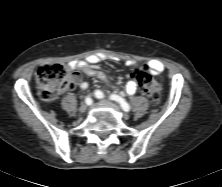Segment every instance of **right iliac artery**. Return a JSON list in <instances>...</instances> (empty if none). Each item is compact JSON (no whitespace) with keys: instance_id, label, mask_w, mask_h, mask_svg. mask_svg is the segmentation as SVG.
I'll use <instances>...</instances> for the list:
<instances>
[{"instance_id":"82829eb1","label":"right iliac artery","mask_w":222,"mask_h":187,"mask_svg":"<svg viewBox=\"0 0 222 187\" xmlns=\"http://www.w3.org/2000/svg\"><path fill=\"white\" fill-rule=\"evenodd\" d=\"M85 102H86L87 105H91V104H92V99L89 98V97H87V98L85 99Z\"/></svg>"}]
</instances>
